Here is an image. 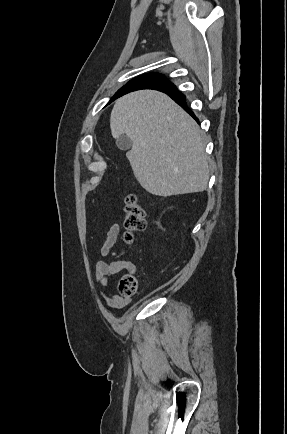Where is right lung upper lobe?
Masks as SVG:
<instances>
[{
	"mask_svg": "<svg viewBox=\"0 0 287 434\" xmlns=\"http://www.w3.org/2000/svg\"><path fill=\"white\" fill-rule=\"evenodd\" d=\"M168 84H170L169 81H166V82H164V83H160V84L150 85V86H137V87H132V88H129V89L125 90V91L123 92V95L126 94V93H128V92L135 91V90H139V89H156V90H158V89H164L165 86L168 85Z\"/></svg>",
	"mask_w": 287,
	"mask_h": 434,
	"instance_id": "cb5924a9",
	"label": "right lung upper lobe"
}]
</instances>
